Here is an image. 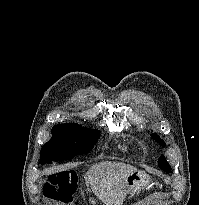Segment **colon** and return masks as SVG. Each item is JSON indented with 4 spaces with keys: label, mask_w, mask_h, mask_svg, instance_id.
<instances>
[{
    "label": "colon",
    "mask_w": 199,
    "mask_h": 205,
    "mask_svg": "<svg viewBox=\"0 0 199 205\" xmlns=\"http://www.w3.org/2000/svg\"><path fill=\"white\" fill-rule=\"evenodd\" d=\"M74 178L75 176L71 171L49 175L43 187L45 196L52 200L65 198L73 188Z\"/></svg>",
    "instance_id": "5ec220e1"
}]
</instances>
